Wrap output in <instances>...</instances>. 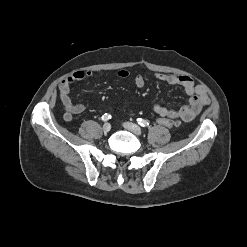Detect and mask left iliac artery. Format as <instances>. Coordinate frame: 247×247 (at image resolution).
I'll return each instance as SVG.
<instances>
[{
    "label": "left iliac artery",
    "instance_id": "44dca946",
    "mask_svg": "<svg viewBox=\"0 0 247 247\" xmlns=\"http://www.w3.org/2000/svg\"><path fill=\"white\" fill-rule=\"evenodd\" d=\"M137 122L139 125H141L142 127H149V122L147 120H144L142 118H138Z\"/></svg>",
    "mask_w": 247,
    "mask_h": 247
}]
</instances>
